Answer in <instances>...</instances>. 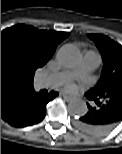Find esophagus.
Returning <instances> with one entry per match:
<instances>
[{
	"instance_id": "esophagus-1",
	"label": "esophagus",
	"mask_w": 122,
	"mask_h": 154,
	"mask_svg": "<svg viewBox=\"0 0 122 154\" xmlns=\"http://www.w3.org/2000/svg\"><path fill=\"white\" fill-rule=\"evenodd\" d=\"M61 96L64 98L65 101L69 102L71 100H73V97L65 94V93H61Z\"/></svg>"
}]
</instances>
